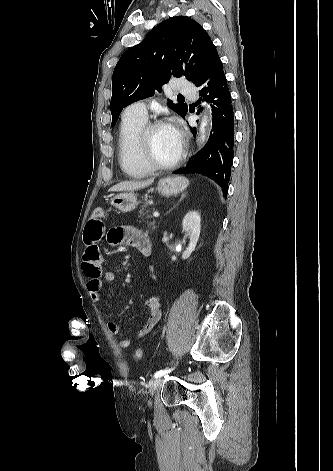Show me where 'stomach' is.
<instances>
[{
    "label": "stomach",
    "mask_w": 333,
    "mask_h": 471,
    "mask_svg": "<svg viewBox=\"0 0 333 471\" xmlns=\"http://www.w3.org/2000/svg\"><path fill=\"white\" fill-rule=\"evenodd\" d=\"M189 182L184 177H165L158 182V191L162 196L176 195L182 192ZM111 205L121 212H130L137 205V196L132 192L120 193L111 198Z\"/></svg>",
    "instance_id": "obj_1"
}]
</instances>
